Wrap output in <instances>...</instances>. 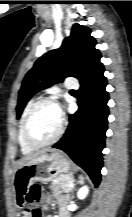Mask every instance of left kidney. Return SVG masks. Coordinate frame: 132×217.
Segmentation results:
<instances>
[{
    "instance_id": "1",
    "label": "left kidney",
    "mask_w": 132,
    "mask_h": 217,
    "mask_svg": "<svg viewBox=\"0 0 132 217\" xmlns=\"http://www.w3.org/2000/svg\"><path fill=\"white\" fill-rule=\"evenodd\" d=\"M88 192H89V188L87 186H83L78 190L77 197L79 199H84L87 196Z\"/></svg>"
}]
</instances>
